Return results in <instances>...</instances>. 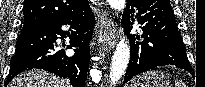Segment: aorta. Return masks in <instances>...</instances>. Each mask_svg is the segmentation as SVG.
<instances>
[{"mask_svg": "<svg viewBox=\"0 0 205 87\" xmlns=\"http://www.w3.org/2000/svg\"><path fill=\"white\" fill-rule=\"evenodd\" d=\"M110 6L118 11H123L125 8L126 0H108ZM130 58V47L127 39L123 37L112 57V63L110 68V82L115 84L124 74Z\"/></svg>", "mask_w": 205, "mask_h": 87, "instance_id": "aorta-1", "label": "aorta"}]
</instances>
